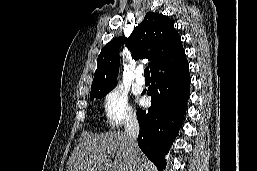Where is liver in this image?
Masks as SVG:
<instances>
[{
	"label": "liver",
	"mask_w": 257,
	"mask_h": 171,
	"mask_svg": "<svg viewBox=\"0 0 257 171\" xmlns=\"http://www.w3.org/2000/svg\"><path fill=\"white\" fill-rule=\"evenodd\" d=\"M82 137L69 158L66 171H131L130 141L126 133H83Z\"/></svg>",
	"instance_id": "1"
}]
</instances>
